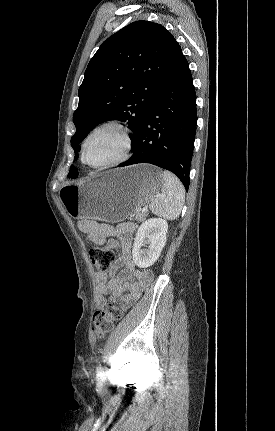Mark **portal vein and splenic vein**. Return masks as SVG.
<instances>
[{
    "label": "portal vein and splenic vein",
    "mask_w": 275,
    "mask_h": 431,
    "mask_svg": "<svg viewBox=\"0 0 275 431\" xmlns=\"http://www.w3.org/2000/svg\"><path fill=\"white\" fill-rule=\"evenodd\" d=\"M159 195H154V196H152L151 198H150V202H152L154 199H156L157 197H158ZM141 211H142V213H145V212H147L148 211V206L146 205V206H144L142 209H141Z\"/></svg>",
    "instance_id": "1"
}]
</instances>
